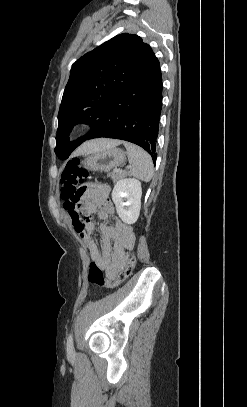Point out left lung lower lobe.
Instances as JSON below:
<instances>
[{
	"mask_svg": "<svg viewBox=\"0 0 247 407\" xmlns=\"http://www.w3.org/2000/svg\"><path fill=\"white\" fill-rule=\"evenodd\" d=\"M160 64L154 55L145 68L115 97L99 125L87 136L132 142L156 162V139L162 106Z\"/></svg>",
	"mask_w": 247,
	"mask_h": 407,
	"instance_id": "left-lung-lower-lobe-1",
	"label": "left lung lower lobe"
}]
</instances>
